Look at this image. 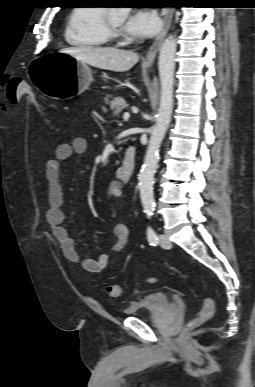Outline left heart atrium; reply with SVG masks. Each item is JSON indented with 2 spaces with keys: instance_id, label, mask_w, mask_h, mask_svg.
Masks as SVG:
<instances>
[{
  "instance_id": "obj_1",
  "label": "left heart atrium",
  "mask_w": 255,
  "mask_h": 387,
  "mask_svg": "<svg viewBox=\"0 0 255 387\" xmlns=\"http://www.w3.org/2000/svg\"><path fill=\"white\" fill-rule=\"evenodd\" d=\"M161 27V19L155 11L140 9L128 18L124 30L137 37L150 38L156 35Z\"/></svg>"
}]
</instances>
